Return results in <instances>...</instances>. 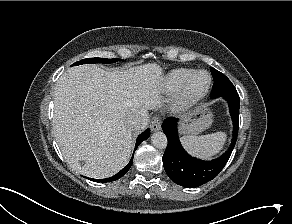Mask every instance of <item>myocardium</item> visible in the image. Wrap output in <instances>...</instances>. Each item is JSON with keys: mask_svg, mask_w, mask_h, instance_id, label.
<instances>
[{"mask_svg": "<svg viewBox=\"0 0 292 224\" xmlns=\"http://www.w3.org/2000/svg\"><path fill=\"white\" fill-rule=\"evenodd\" d=\"M200 73H206L209 77V82L207 86L199 92H193L191 90V84L193 80L196 78L197 75ZM212 75L209 71L207 70H196L193 72L182 84L180 89L178 90L177 96H176V106L181 107V108H186L189 106L194 105L201 99H203L208 92L210 91V88L212 86Z\"/></svg>", "mask_w": 292, "mask_h": 224, "instance_id": "obj_1", "label": "myocardium"}]
</instances>
